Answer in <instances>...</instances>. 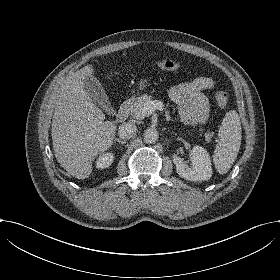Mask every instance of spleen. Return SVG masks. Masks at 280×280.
Here are the masks:
<instances>
[{"label":"spleen","mask_w":280,"mask_h":280,"mask_svg":"<svg viewBox=\"0 0 280 280\" xmlns=\"http://www.w3.org/2000/svg\"><path fill=\"white\" fill-rule=\"evenodd\" d=\"M219 144L214 151L215 168L220 174L226 173L234 163L240 149L241 124L238 113L229 111L218 132Z\"/></svg>","instance_id":"spleen-1"}]
</instances>
